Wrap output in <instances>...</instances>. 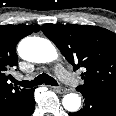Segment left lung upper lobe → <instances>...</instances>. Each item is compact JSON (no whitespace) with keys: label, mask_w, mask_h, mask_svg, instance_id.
Wrapping results in <instances>:
<instances>
[{"label":"left lung upper lobe","mask_w":116,"mask_h":116,"mask_svg":"<svg viewBox=\"0 0 116 116\" xmlns=\"http://www.w3.org/2000/svg\"><path fill=\"white\" fill-rule=\"evenodd\" d=\"M43 33L75 69L83 67L78 90L116 94V34L98 26L44 24Z\"/></svg>","instance_id":"1"}]
</instances>
